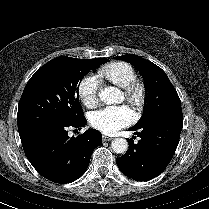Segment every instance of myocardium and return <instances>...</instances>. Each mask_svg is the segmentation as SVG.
Returning <instances> with one entry per match:
<instances>
[{
    "instance_id": "1",
    "label": "myocardium",
    "mask_w": 209,
    "mask_h": 209,
    "mask_svg": "<svg viewBox=\"0 0 209 209\" xmlns=\"http://www.w3.org/2000/svg\"><path fill=\"white\" fill-rule=\"evenodd\" d=\"M126 99L129 103L140 108L145 99L144 89L141 85L134 83L126 89Z\"/></svg>"
}]
</instances>
